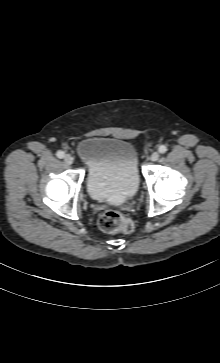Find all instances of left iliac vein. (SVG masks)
I'll list each match as a JSON object with an SVG mask.
<instances>
[{"label":"left iliac vein","instance_id":"left-iliac-vein-1","mask_svg":"<svg viewBox=\"0 0 220 363\" xmlns=\"http://www.w3.org/2000/svg\"><path fill=\"white\" fill-rule=\"evenodd\" d=\"M159 158V153L158 152H153L150 156V160L151 161H157Z\"/></svg>","mask_w":220,"mask_h":363}]
</instances>
